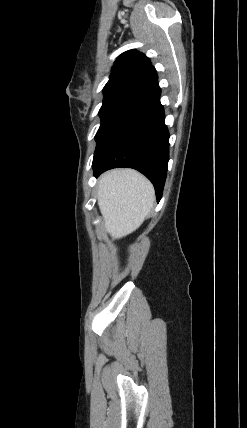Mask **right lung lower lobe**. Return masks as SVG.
<instances>
[{
  "label": "right lung lower lobe",
  "instance_id": "1",
  "mask_svg": "<svg viewBox=\"0 0 247 428\" xmlns=\"http://www.w3.org/2000/svg\"><path fill=\"white\" fill-rule=\"evenodd\" d=\"M156 83L139 94L104 129L94 153V175L129 167L143 173L154 185L160 201L167 176L169 132Z\"/></svg>",
  "mask_w": 247,
  "mask_h": 428
}]
</instances>
